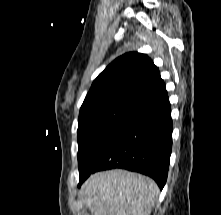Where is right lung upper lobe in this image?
<instances>
[{
	"label": "right lung upper lobe",
	"instance_id": "obj_1",
	"mask_svg": "<svg viewBox=\"0 0 221 215\" xmlns=\"http://www.w3.org/2000/svg\"><path fill=\"white\" fill-rule=\"evenodd\" d=\"M166 91L158 68L145 54L126 53L94 80L84 102H120L137 107Z\"/></svg>",
	"mask_w": 221,
	"mask_h": 215
}]
</instances>
